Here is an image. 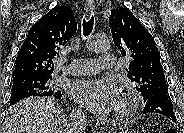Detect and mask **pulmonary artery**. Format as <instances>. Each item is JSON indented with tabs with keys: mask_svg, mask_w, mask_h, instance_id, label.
<instances>
[{
	"mask_svg": "<svg viewBox=\"0 0 184 133\" xmlns=\"http://www.w3.org/2000/svg\"><path fill=\"white\" fill-rule=\"evenodd\" d=\"M117 64V58L112 54H103L99 60L81 58L74 59L72 63L62 69L67 75L94 74L102 69L114 68Z\"/></svg>",
	"mask_w": 184,
	"mask_h": 133,
	"instance_id": "pulmonary-artery-1",
	"label": "pulmonary artery"
}]
</instances>
